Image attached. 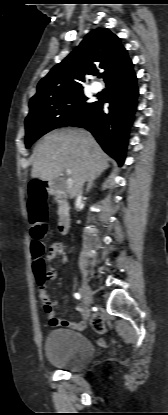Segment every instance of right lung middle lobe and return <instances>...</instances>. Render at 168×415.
Instances as JSON below:
<instances>
[{
	"label": "right lung middle lobe",
	"mask_w": 168,
	"mask_h": 415,
	"mask_svg": "<svg viewBox=\"0 0 168 415\" xmlns=\"http://www.w3.org/2000/svg\"><path fill=\"white\" fill-rule=\"evenodd\" d=\"M94 104L88 102V98L79 91L30 109L25 120L26 148L47 132L69 126L84 116Z\"/></svg>",
	"instance_id": "obj_1"
}]
</instances>
